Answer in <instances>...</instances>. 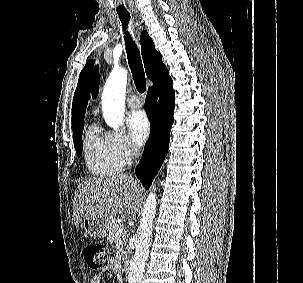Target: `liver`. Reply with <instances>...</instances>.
<instances>
[{
    "label": "liver",
    "mask_w": 303,
    "mask_h": 283,
    "mask_svg": "<svg viewBox=\"0 0 303 283\" xmlns=\"http://www.w3.org/2000/svg\"><path fill=\"white\" fill-rule=\"evenodd\" d=\"M143 187L132 175L93 177L79 184L74 196L75 226L85 218L112 219L117 214L133 215Z\"/></svg>",
    "instance_id": "liver-1"
}]
</instances>
